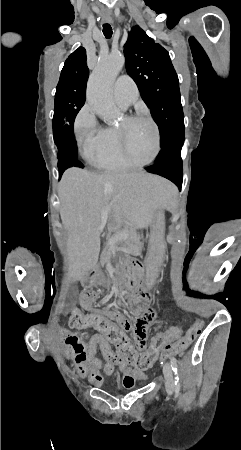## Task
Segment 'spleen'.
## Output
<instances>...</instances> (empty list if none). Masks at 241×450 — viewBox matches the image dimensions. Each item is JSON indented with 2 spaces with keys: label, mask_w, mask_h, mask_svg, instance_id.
I'll return each mask as SVG.
<instances>
[{
  "label": "spleen",
  "mask_w": 241,
  "mask_h": 450,
  "mask_svg": "<svg viewBox=\"0 0 241 450\" xmlns=\"http://www.w3.org/2000/svg\"><path fill=\"white\" fill-rule=\"evenodd\" d=\"M167 242H168L169 244H172V243L174 242V239H173L172 237H169V238L167 239Z\"/></svg>",
  "instance_id": "obj_1"
}]
</instances>
